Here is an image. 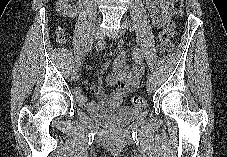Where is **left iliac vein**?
I'll use <instances>...</instances> for the list:
<instances>
[{"label":"left iliac vein","instance_id":"1","mask_svg":"<svg viewBox=\"0 0 227 157\" xmlns=\"http://www.w3.org/2000/svg\"><path fill=\"white\" fill-rule=\"evenodd\" d=\"M126 23H127V22H123V23H122V28H121L120 31H119V34H120V35H122V34L125 33ZM146 87H147V91H148L149 93H152V92L155 91V83H154L153 81H148Z\"/></svg>","mask_w":227,"mask_h":157}]
</instances>
